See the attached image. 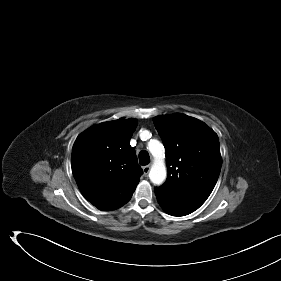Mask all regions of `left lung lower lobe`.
Returning a JSON list of instances; mask_svg holds the SVG:
<instances>
[{"label": "left lung lower lobe", "instance_id": "0a47b994", "mask_svg": "<svg viewBox=\"0 0 281 281\" xmlns=\"http://www.w3.org/2000/svg\"><path fill=\"white\" fill-rule=\"evenodd\" d=\"M161 207L172 216H185L197 210L204 202L192 199L190 195L178 191L155 189Z\"/></svg>", "mask_w": 281, "mask_h": 281}]
</instances>
